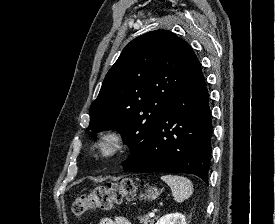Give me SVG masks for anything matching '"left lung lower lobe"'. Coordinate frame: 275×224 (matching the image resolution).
Here are the masks:
<instances>
[{"label": "left lung lower lobe", "mask_w": 275, "mask_h": 224, "mask_svg": "<svg viewBox=\"0 0 275 224\" xmlns=\"http://www.w3.org/2000/svg\"><path fill=\"white\" fill-rule=\"evenodd\" d=\"M212 121L201 68L196 70L156 123L125 171L191 173L208 184Z\"/></svg>", "instance_id": "0a47b994"}]
</instances>
